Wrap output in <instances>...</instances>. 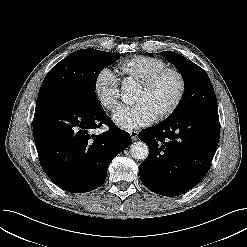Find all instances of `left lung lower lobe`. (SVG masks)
<instances>
[{
  "instance_id": "0a47b994",
  "label": "left lung lower lobe",
  "mask_w": 247,
  "mask_h": 247,
  "mask_svg": "<svg viewBox=\"0 0 247 247\" xmlns=\"http://www.w3.org/2000/svg\"><path fill=\"white\" fill-rule=\"evenodd\" d=\"M219 135L218 109L183 114L141 130L138 137L149 147L139 170L143 185L163 196L187 192L207 174Z\"/></svg>"
}]
</instances>
